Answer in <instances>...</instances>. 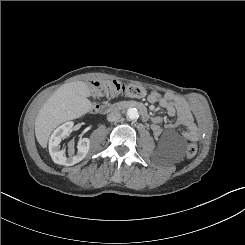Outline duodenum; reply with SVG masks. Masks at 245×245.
Returning a JSON list of instances; mask_svg holds the SVG:
<instances>
[{
	"mask_svg": "<svg viewBox=\"0 0 245 245\" xmlns=\"http://www.w3.org/2000/svg\"><path fill=\"white\" fill-rule=\"evenodd\" d=\"M127 108H135L141 113L144 120L149 119L147 108L142 103L137 101H123L114 104L106 103L100 107V111L102 113H109V112H113L121 109H127Z\"/></svg>",
	"mask_w": 245,
	"mask_h": 245,
	"instance_id": "obj_1",
	"label": "duodenum"
}]
</instances>
